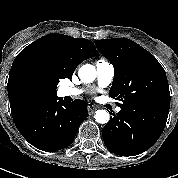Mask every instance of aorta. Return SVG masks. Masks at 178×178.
<instances>
[{
  "label": "aorta",
  "mask_w": 178,
  "mask_h": 178,
  "mask_svg": "<svg viewBox=\"0 0 178 178\" xmlns=\"http://www.w3.org/2000/svg\"><path fill=\"white\" fill-rule=\"evenodd\" d=\"M78 76L82 82L91 83L96 78V69L91 64H85L80 67V69L78 71ZM94 118H95L96 122H98L100 124H105V123H108V121L110 119V115H109L108 111L101 109V110H97L95 112Z\"/></svg>",
  "instance_id": "aorta-1"
}]
</instances>
